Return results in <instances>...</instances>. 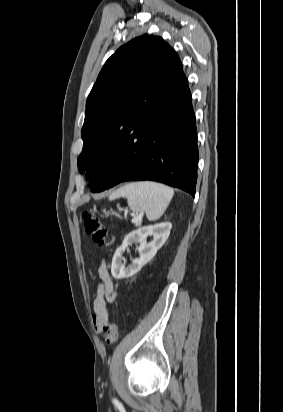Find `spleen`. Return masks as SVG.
I'll return each instance as SVG.
<instances>
[{
	"instance_id": "1",
	"label": "spleen",
	"mask_w": 283,
	"mask_h": 412,
	"mask_svg": "<svg viewBox=\"0 0 283 412\" xmlns=\"http://www.w3.org/2000/svg\"><path fill=\"white\" fill-rule=\"evenodd\" d=\"M173 195V189L166 185L142 181L120 187L109 196V200L126 198L133 213L145 212L149 221H156L164 214Z\"/></svg>"
}]
</instances>
